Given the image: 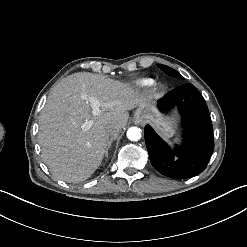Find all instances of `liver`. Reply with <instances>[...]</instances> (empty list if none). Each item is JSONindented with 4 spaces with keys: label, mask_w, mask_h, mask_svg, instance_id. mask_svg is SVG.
Instances as JSON below:
<instances>
[{
    "label": "liver",
    "mask_w": 247,
    "mask_h": 247,
    "mask_svg": "<svg viewBox=\"0 0 247 247\" xmlns=\"http://www.w3.org/2000/svg\"><path fill=\"white\" fill-rule=\"evenodd\" d=\"M82 95L100 101L98 116L91 114V105ZM149 99L152 96L130 83L101 74L78 72L64 78L48 96L39 117L41 157L50 172L69 183L88 179L100 166L110 141L106 128H124L128 110ZM86 120L93 125L82 129Z\"/></svg>",
    "instance_id": "liver-1"
}]
</instances>
